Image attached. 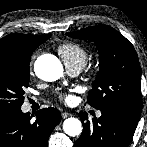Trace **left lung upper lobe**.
Wrapping results in <instances>:
<instances>
[{"label": "left lung upper lobe", "mask_w": 147, "mask_h": 147, "mask_svg": "<svg viewBox=\"0 0 147 147\" xmlns=\"http://www.w3.org/2000/svg\"><path fill=\"white\" fill-rule=\"evenodd\" d=\"M67 35L94 41L99 51L100 70L89 91L88 103L96 109H114L139 120L141 72L133 45L107 25L87 27Z\"/></svg>", "instance_id": "5c2ea615"}]
</instances>
